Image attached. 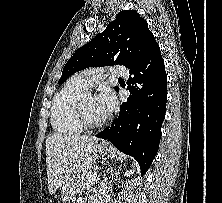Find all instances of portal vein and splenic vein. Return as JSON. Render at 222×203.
<instances>
[{
    "instance_id": "18ae733b",
    "label": "portal vein and splenic vein",
    "mask_w": 222,
    "mask_h": 203,
    "mask_svg": "<svg viewBox=\"0 0 222 203\" xmlns=\"http://www.w3.org/2000/svg\"><path fill=\"white\" fill-rule=\"evenodd\" d=\"M94 180H97V177H94L90 180V182H93Z\"/></svg>"
}]
</instances>
